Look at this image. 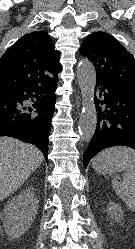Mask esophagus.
Segmentation results:
<instances>
[{
	"instance_id": "esophagus-1",
	"label": "esophagus",
	"mask_w": 135,
	"mask_h": 249,
	"mask_svg": "<svg viewBox=\"0 0 135 249\" xmlns=\"http://www.w3.org/2000/svg\"><path fill=\"white\" fill-rule=\"evenodd\" d=\"M76 105H77V107L80 106V98L79 97H77V99H76Z\"/></svg>"
}]
</instances>
